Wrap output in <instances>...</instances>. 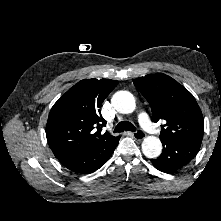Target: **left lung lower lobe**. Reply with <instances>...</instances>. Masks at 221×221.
<instances>
[{
    "instance_id": "left-lung-lower-lobe-1",
    "label": "left lung lower lobe",
    "mask_w": 221,
    "mask_h": 221,
    "mask_svg": "<svg viewBox=\"0 0 221 221\" xmlns=\"http://www.w3.org/2000/svg\"><path fill=\"white\" fill-rule=\"evenodd\" d=\"M202 138L182 141H162V154L151 160L153 165L165 173H174L187 165L198 153Z\"/></svg>"
}]
</instances>
